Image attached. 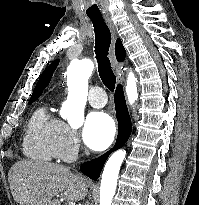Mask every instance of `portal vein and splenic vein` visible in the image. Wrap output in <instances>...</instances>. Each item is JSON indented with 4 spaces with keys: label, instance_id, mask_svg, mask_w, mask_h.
<instances>
[{
    "label": "portal vein and splenic vein",
    "instance_id": "portal-vein-and-splenic-vein-1",
    "mask_svg": "<svg viewBox=\"0 0 199 205\" xmlns=\"http://www.w3.org/2000/svg\"><path fill=\"white\" fill-rule=\"evenodd\" d=\"M69 205H75V203H73V202H70V203H69Z\"/></svg>",
    "mask_w": 199,
    "mask_h": 205
}]
</instances>
